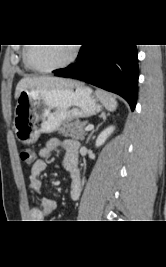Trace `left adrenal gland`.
Instances as JSON below:
<instances>
[{
  "label": "left adrenal gland",
  "mask_w": 166,
  "mask_h": 267,
  "mask_svg": "<svg viewBox=\"0 0 166 267\" xmlns=\"http://www.w3.org/2000/svg\"><path fill=\"white\" fill-rule=\"evenodd\" d=\"M103 120L104 121L106 120V116L105 115L103 116ZM101 125H102V123L98 124V126L94 130L91 131V133L88 135V137L86 139V143L89 142V140L92 137V135L94 134V132H96Z\"/></svg>",
  "instance_id": "a2214340"
}]
</instances>
